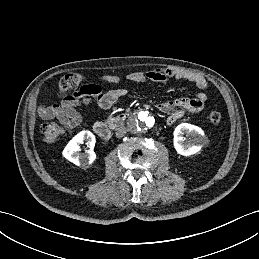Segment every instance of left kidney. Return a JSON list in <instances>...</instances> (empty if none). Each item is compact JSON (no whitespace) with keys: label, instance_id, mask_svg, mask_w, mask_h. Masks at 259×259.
Listing matches in <instances>:
<instances>
[{"label":"left kidney","instance_id":"1","mask_svg":"<svg viewBox=\"0 0 259 259\" xmlns=\"http://www.w3.org/2000/svg\"><path fill=\"white\" fill-rule=\"evenodd\" d=\"M174 148L178 154L183 156H190L198 153L203 147L204 132L195 125L182 123L174 130ZM184 134L190 136L189 140L185 142Z\"/></svg>","mask_w":259,"mask_h":259}]
</instances>
